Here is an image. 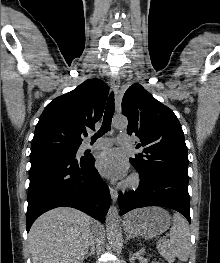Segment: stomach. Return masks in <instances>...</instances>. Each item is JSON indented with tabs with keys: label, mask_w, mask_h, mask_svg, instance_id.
<instances>
[{
	"label": "stomach",
	"mask_w": 220,
	"mask_h": 263,
	"mask_svg": "<svg viewBox=\"0 0 220 263\" xmlns=\"http://www.w3.org/2000/svg\"><path fill=\"white\" fill-rule=\"evenodd\" d=\"M171 218L160 207H146L129 212L123 221L126 232L144 238L164 233L170 226Z\"/></svg>",
	"instance_id": "0dacf381"
}]
</instances>
